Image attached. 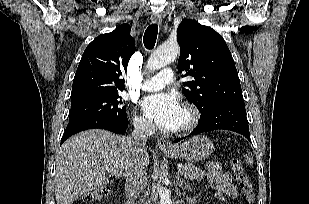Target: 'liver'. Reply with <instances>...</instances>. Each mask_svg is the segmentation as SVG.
<instances>
[{
	"instance_id": "6515ba94",
	"label": "liver",
	"mask_w": 309,
	"mask_h": 204,
	"mask_svg": "<svg viewBox=\"0 0 309 204\" xmlns=\"http://www.w3.org/2000/svg\"><path fill=\"white\" fill-rule=\"evenodd\" d=\"M146 164L149 154H145ZM136 163L129 138L92 129L68 139L56 155V204H72L80 196L109 183L105 171L126 177Z\"/></svg>"
}]
</instances>
